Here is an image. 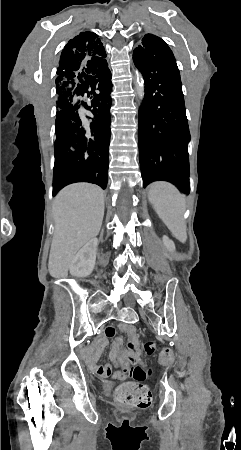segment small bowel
Listing matches in <instances>:
<instances>
[{"label":"small bowel","mask_w":241,"mask_h":450,"mask_svg":"<svg viewBox=\"0 0 241 450\" xmlns=\"http://www.w3.org/2000/svg\"><path fill=\"white\" fill-rule=\"evenodd\" d=\"M124 332L127 335V345L121 337H116L112 343V349L109 353L110 363L101 366H94L92 369L100 377H110L115 380H125L129 377L128 370L138 364H144L140 350V340L137 334V328L133 324L120 323L116 326H107L104 330L106 337L114 336L116 331ZM111 334V336H109ZM106 338L98 339L93 348H91L92 357L99 359L101 350L106 346ZM120 365V370H114V365Z\"/></svg>","instance_id":"c3829d8e"}]
</instances>
